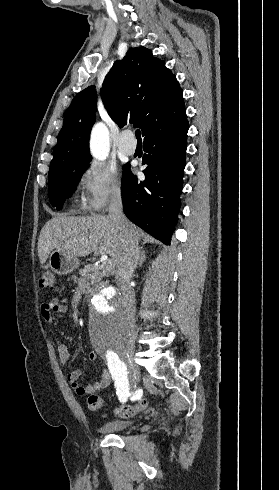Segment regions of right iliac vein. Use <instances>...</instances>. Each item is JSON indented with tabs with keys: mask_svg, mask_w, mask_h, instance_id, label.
Returning <instances> with one entry per match:
<instances>
[{
	"mask_svg": "<svg viewBox=\"0 0 279 490\" xmlns=\"http://www.w3.org/2000/svg\"><path fill=\"white\" fill-rule=\"evenodd\" d=\"M131 367H132V369H134V370H137V369H138V366H137V365H135L133 362H132V364H131Z\"/></svg>",
	"mask_w": 279,
	"mask_h": 490,
	"instance_id": "1",
	"label": "right iliac vein"
}]
</instances>
